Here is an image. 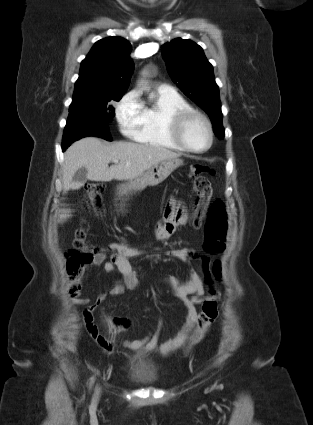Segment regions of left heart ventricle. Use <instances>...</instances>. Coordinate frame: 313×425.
I'll list each match as a JSON object with an SVG mask.
<instances>
[{"mask_svg":"<svg viewBox=\"0 0 313 425\" xmlns=\"http://www.w3.org/2000/svg\"><path fill=\"white\" fill-rule=\"evenodd\" d=\"M184 138L195 149L204 148L209 142L205 123L199 118H193L185 128Z\"/></svg>","mask_w":313,"mask_h":425,"instance_id":"obj_1","label":"left heart ventricle"}]
</instances>
